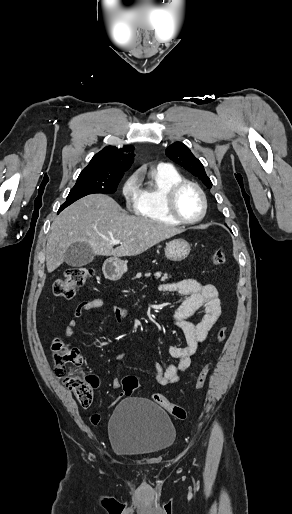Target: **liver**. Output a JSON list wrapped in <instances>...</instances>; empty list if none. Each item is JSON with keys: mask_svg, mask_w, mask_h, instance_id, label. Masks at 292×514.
I'll use <instances>...</instances> for the list:
<instances>
[{"mask_svg": "<svg viewBox=\"0 0 292 514\" xmlns=\"http://www.w3.org/2000/svg\"><path fill=\"white\" fill-rule=\"evenodd\" d=\"M46 246V266L54 272L63 264L65 252L75 242L89 244L96 256H138L155 244L184 230L129 216L105 194H90L74 202L55 218ZM113 240L122 244L113 248Z\"/></svg>", "mask_w": 292, "mask_h": 514, "instance_id": "obj_1", "label": "liver"}]
</instances>
